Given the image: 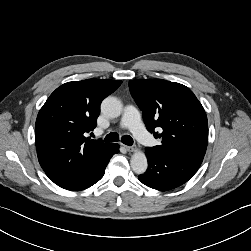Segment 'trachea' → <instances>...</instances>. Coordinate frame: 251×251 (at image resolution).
<instances>
[{
	"instance_id": "trachea-1",
	"label": "trachea",
	"mask_w": 251,
	"mask_h": 251,
	"mask_svg": "<svg viewBox=\"0 0 251 251\" xmlns=\"http://www.w3.org/2000/svg\"><path fill=\"white\" fill-rule=\"evenodd\" d=\"M118 140V134L113 132L109 133L104 139L105 142H116ZM121 141L128 146H131L133 144V139L129 135L122 136Z\"/></svg>"
}]
</instances>
